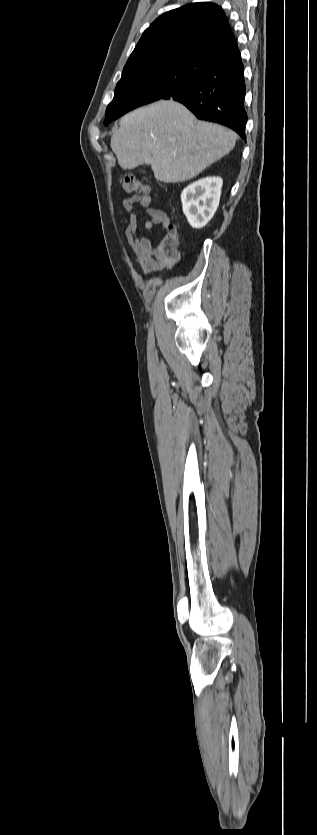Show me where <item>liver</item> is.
Segmentation results:
<instances>
[{"label": "liver", "mask_w": 317, "mask_h": 835, "mask_svg": "<svg viewBox=\"0 0 317 835\" xmlns=\"http://www.w3.org/2000/svg\"><path fill=\"white\" fill-rule=\"evenodd\" d=\"M235 132L198 121L170 99L138 108L120 120L111 148L123 169L151 166L157 180L176 183L193 178L235 146Z\"/></svg>", "instance_id": "1"}]
</instances>
